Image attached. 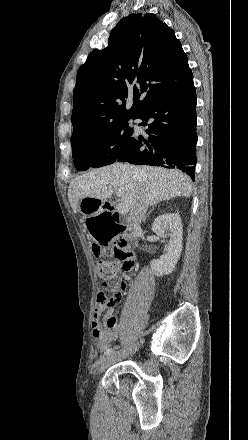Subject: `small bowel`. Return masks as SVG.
I'll return each instance as SVG.
<instances>
[{
	"label": "small bowel",
	"instance_id": "c3829d8e",
	"mask_svg": "<svg viewBox=\"0 0 248 440\" xmlns=\"http://www.w3.org/2000/svg\"><path fill=\"white\" fill-rule=\"evenodd\" d=\"M103 311L104 308L96 305L92 321V332L94 338L96 339V348L100 352H105L106 349L109 348L110 344L115 341L119 335V327L116 323V318L113 315V311L111 309L107 310L106 312V328H102L100 317ZM108 320H112L113 323L109 324Z\"/></svg>",
	"mask_w": 248,
	"mask_h": 440
}]
</instances>
